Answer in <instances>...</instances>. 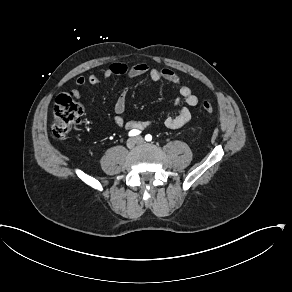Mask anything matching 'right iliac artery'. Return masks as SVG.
Instances as JSON below:
<instances>
[{
    "label": "right iliac artery",
    "instance_id": "82829eb1",
    "mask_svg": "<svg viewBox=\"0 0 292 292\" xmlns=\"http://www.w3.org/2000/svg\"><path fill=\"white\" fill-rule=\"evenodd\" d=\"M141 133V131H139V130H137V129H133V130H131L130 132H129V136L130 137H133V136H137V135H139Z\"/></svg>",
    "mask_w": 292,
    "mask_h": 292
}]
</instances>
